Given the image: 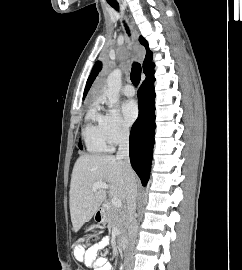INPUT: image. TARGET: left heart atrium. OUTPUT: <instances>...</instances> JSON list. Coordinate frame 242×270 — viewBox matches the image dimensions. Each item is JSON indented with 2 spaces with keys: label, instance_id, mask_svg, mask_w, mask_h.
Segmentation results:
<instances>
[{
  "label": "left heart atrium",
  "instance_id": "39dd6f15",
  "mask_svg": "<svg viewBox=\"0 0 242 270\" xmlns=\"http://www.w3.org/2000/svg\"><path fill=\"white\" fill-rule=\"evenodd\" d=\"M122 113L125 121L132 124L138 117V106L134 100H128L122 105Z\"/></svg>",
  "mask_w": 242,
  "mask_h": 270
}]
</instances>
